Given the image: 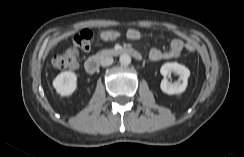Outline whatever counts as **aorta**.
<instances>
[{
  "mask_svg": "<svg viewBox=\"0 0 244 157\" xmlns=\"http://www.w3.org/2000/svg\"><path fill=\"white\" fill-rule=\"evenodd\" d=\"M119 61L121 65H129L131 63V57L128 54H122L120 55Z\"/></svg>",
  "mask_w": 244,
  "mask_h": 157,
  "instance_id": "762f6f07",
  "label": "aorta"
}]
</instances>
